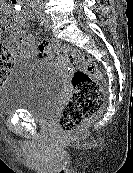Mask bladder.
I'll return each mask as SVG.
<instances>
[{
	"label": "bladder",
	"mask_w": 133,
	"mask_h": 173,
	"mask_svg": "<svg viewBox=\"0 0 133 173\" xmlns=\"http://www.w3.org/2000/svg\"><path fill=\"white\" fill-rule=\"evenodd\" d=\"M64 92L62 76L50 63L25 59L18 61L0 85V113H28L34 120L52 119Z\"/></svg>",
	"instance_id": "31cf9c89"
}]
</instances>
